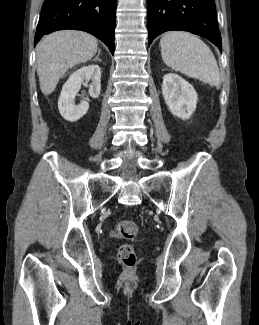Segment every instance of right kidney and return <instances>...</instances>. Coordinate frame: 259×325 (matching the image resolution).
<instances>
[{
	"label": "right kidney",
	"mask_w": 259,
	"mask_h": 325,
	"mask_svg": "<svg viewBox=\"0 0 259 325\" xmlns=\"http://www.w3.org/2000/svg\"><path fill=\"white\" fill-rule=\"evenodd\" d=\"M92 83L89 85V95L98 98L101 90V69L98 65H88L81 67L72 73L66 83L63 85L58 108L60 114L67 121H77L83 117L89 109V103L84 100L75 105L74 99L84 81Z\"/></svg>",
	"instance_id": "ca27d5eb"
}]
</instances>
